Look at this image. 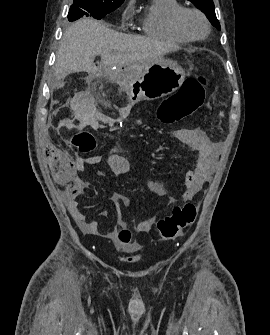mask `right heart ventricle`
Returning a JSON list of instances; mask_svg holds the SVG:
<instances>
[{"instance_id": "obj_1", "label": "right heart ventricle", "mask_w": 270, "mask_h": 335, "mask_svg": "<svg viewBox=\"0 0 270 335\" xmlns=\"http://www.w3.org/2000/svg\"><path fill=\"white\" fill-rule=\"evenodd\" d=\"M183 9L178 0H153L138 23L142 31L155 39L182 44L189 40L181 35L175 27V15Z\"/></svg>"}]
</instances>
